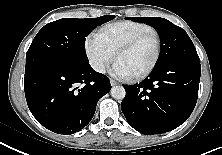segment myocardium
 I'll use <instances>...</instances> for the list:
<instances>
[{
  "mask_svg": "<svg viewBox=\"0 0 222 155\" xmlns=\"http://www.w3.org/2000/svg\"><path fill=\"white\" fill-rule=\"evenodd\" d=\"M153 35L156 37L157 40V52H156V56L152 62V64L143 72L133 75L131 76V78L133 80H142L144 78H146L147 76H149L157 67L161 55H162V38L160 36V34L158 33V31L153 30V31H148V32H144L139 34L138 36L134 37L133 39H131L130 41L126 42L125 44H123L122 46H120L115 54L116 59H118V57L124 53L127 52L131 49H133L134 47H136L141 41H143L145 38H147L148 36Z\"/></svg>",
  "mask_w": 222,
  "mask_h": 155,
  "instance_id": "1",
  "label": "myocardium"
}]
</instances>
